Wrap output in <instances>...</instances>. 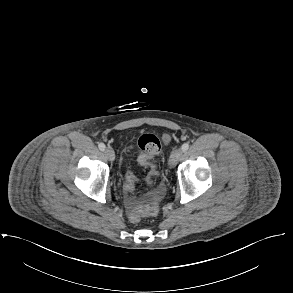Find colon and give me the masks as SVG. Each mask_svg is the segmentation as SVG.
I'll return each mask as SVG.
<instances>
[{"label": "colon", "instance_id": "1", "mask_svg": "<svg viewBox=\"0 0 293 293\" xmlns=\"http://www.w3.org/2000/svg\"><path fill=\"white\" fill-rule=\"evenodd\" d=\"M139 146L142 150V154L139 157V162L143 166L150 167L151 171L148 181L151 182L152 178L156 175V169L152 163V160L160 153L161 142L156 135L152 133H143L139 138ZM134 183V175L132 173H127L124 183V189L132 191ZM146 197L150 199L152 205L147 209L134 206L129 214V219L131 222L136 223L141 219L144 214H154L157 211L158 203L160 201L159 193L147 192Z\"/></svg>", "mask_w": 293, "mask_h": 293}]
</instances>
